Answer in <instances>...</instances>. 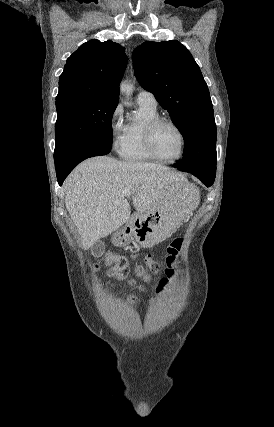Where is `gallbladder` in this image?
<instances>
[{"label": "gallbladder", "instance_id": "gallbladder-1", "mask_svg": "<svg viewBox=\"0 0 274 427\" xmlns=\"http://www.w3.org/2000/svg\"><path fill=\"white\" fill-rule=\"evenodd\" d=\"M105 251V245L103 241H96V243H93L91 245V253L94 255V257H101Z\"/></svg>", "mask_w": 274, "mask_h": 427}]
</instances>
